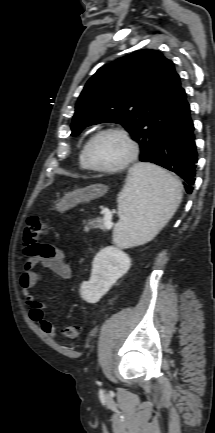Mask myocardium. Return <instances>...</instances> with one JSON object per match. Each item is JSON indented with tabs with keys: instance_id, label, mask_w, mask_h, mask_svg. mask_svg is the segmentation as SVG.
Masks as SVG:
<instances>
[{
	"instance_id": "obj_1",
	"label": "myocardium",
	"mask_w": 215,
	"mask_h": 433,
	"mask_svg": "<svg viewBox=\"0 0 215 433\" xmlns=\"http://www.w3.org/2000/svg\"><path fill=\"white\" fill-rule=\"evenodd\" d=\"M109 133L117 134V135L121 136L126 141L128 148H129L128 156L122 163H120L119 165L114 166V167L96 166L92 163V161L90 159L91 146L96 141L97 138H99L100 136H102L104 134H109ZM137 156H138V144H137L136 140L126 129L121 128V127H107V128H104V129L97 131L88 140V142L86 143V145L84 147V159H85L87 166L91 170L97 171V172H103V173L122 172L134 163V161L137 159Z\"/></svg>"
}]
</instances>
